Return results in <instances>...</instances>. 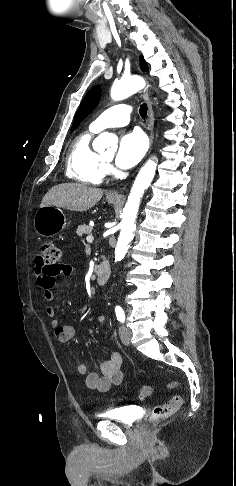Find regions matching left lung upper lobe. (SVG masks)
Listing matches in <instances>:
<instances>
[{
    "mask_svg": "<svg viewBox=\"0 0 236 486\" xmlns=\"http://www.w3.org/2000/svg\"><path fill=\"white\" fill-rule=\"evenodd\" d=\"M140 66L142 71H148L147 63L142 56L140 57ZM100 98V87H92L84 97L80 107L77 110L71 131H73L79 125V123L94 110V108L98 105Z\"/></svg>",
    "mask_w": 236,
    "mask_h": 486,
    "instance_id": "5c2ea615",
    "label": "left lung upper lobe"
}]
</instances>
